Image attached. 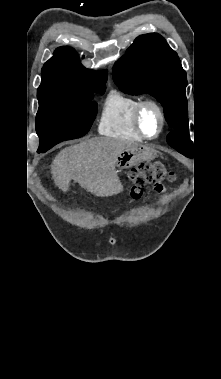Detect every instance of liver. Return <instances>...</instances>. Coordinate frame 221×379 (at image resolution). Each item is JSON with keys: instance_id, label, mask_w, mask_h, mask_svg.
<instances>
[{"instance_id": "liver-1", "label": "liver", "mask_w": 221, "mask_h": 379, "mask_svg": "<svg viewBox=\"0 0 221 379\" xmlns=\"http://www.w3.org/2000/svg\"><path fill=\"white\" fill-rule=\"evenodd\" d=\"M137 144L120 139L96 137L61 150L53 160L51 174L56 186L68 191L71 180L88 192L108 197L118 194L121 183L115 171L118 156Z\"/></svg>"}]
</instances>
